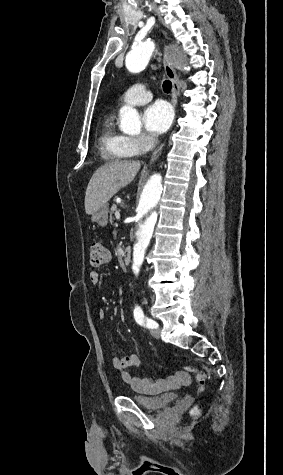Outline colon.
Here are the masks:
<instances>
[{"label":"colon","instance_id":"colon-1","mask_svg":"<svg viewBox=\"0 0 283 475\" xmlns=\"http://www.w3.org/2000/svg\"><path fill=\"white\" fill-rule=\"evenodd\" d=\"M90 263L92 266H101L106 263L109 258V252L99 242L91 244L90 247ZM181 377L191 378L193 377L198 386V395H201L207 386V374L193 366H185L182 371L179 372ZM200 414V403L197 402L191 409L192 416H198Z\"/></svg>","mask_w":283,"mask_h":475}]
</instances>
